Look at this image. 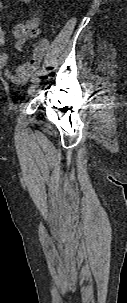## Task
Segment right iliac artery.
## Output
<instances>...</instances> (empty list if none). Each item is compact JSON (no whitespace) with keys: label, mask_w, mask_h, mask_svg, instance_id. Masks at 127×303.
I'll return each instance as SVG.
<instances>
[{"label":"right iliac artery","mask_w":127,"mask_h":303,"mask_svg":"<svg viewBox=\"0 0 127 303\" xmlns=\"http://www.w3.org/2000/svg\"><path fill=\"white\" fill-rule=\"evenodd\" d=\"M43 73V70H38L35 72V74L32 77L31 81H34L35 78H37L38 76H40Z\"/></svg>","instance_id":"82829eb1"}]
</instances>
